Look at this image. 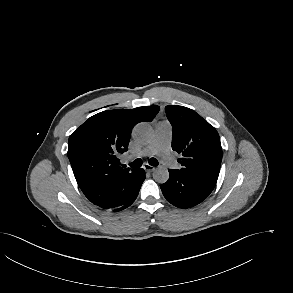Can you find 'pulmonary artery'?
Returning a JSON list of instances; mask_svg holds the SVG:
<instances>
[{
  "label": "pulmonary artery",
  "instance_id": "1",
  "mask_svg": "<svg viewBox=\"0 0 293 293\" xmlns=\"http://www.w3.org/2000/svg\"><path fill=\"white\" fill-rule=\"evenodd\" d=\"M171 140L172 127L170 123L161 122L156 126L152 141L134 156L138 158L157 155L164 164L174 166L175 161L170 153Z\"/></svg>",
  "mask_w": 293,
  "mask_h": 293
}]
</instances>
